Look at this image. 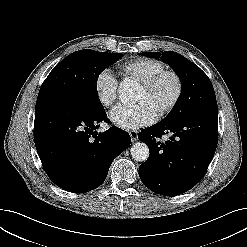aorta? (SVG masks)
I'll use <instances>...</instances> for the list:
<instances>
[{
  "label": "aorta",
  "mask_w": 247,
  "mask_h": 247,
  "mask_svg": "<svg viewBox=\"0 0 247 247\" xmlns=\"http://www.w3.org/2000/svg\"><path fill=\"white\" fill-rule=\"evenodd\" d=\"M136 88L128 83H121L118 88L119 99L126 104L134 100ZM131 156L134 160L144 162L149 157V148L143 142H136L131 146Z\"/></svg>",
  "instance_id": "762f6f07"
}]
</instances>
